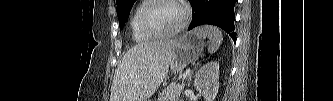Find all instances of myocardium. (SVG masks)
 <instances>
[{"mask_svg": "<svg viewBox=\"0 0 333 101\" xmlns=\"http://www.w3.org/2000/svg\"><path fill=\"white\" fill-rule=\"evenodd\" d=\"M165 2H172L180 7L182 11V20L180 24L173 30L169 32H161L156 30L150 22V14L152 10L159 4ZM189 20V11L182 1L178 0H153L148 3V5L143 10L140 17V24L145 33L152 36L153 38H165L172 37L180 33L188 24Z\"/></svg>", "mask_w": 333, "mask_h": 101, "instance_id": "myocardium-1", "label": "myocardium"}]
</instances>
